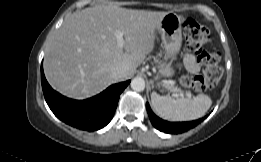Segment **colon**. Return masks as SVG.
<instances>
[{"mask_svg":"<svg viewBox=\"0 0 261 162\" xmlns=\"http://www.w3.org/2000/svg\"><path fill=\"white\" fill-rule=\"evenodd\" d=\"M183 33L188 50L197 56L203 71L201 75L197 76H182L180 84L184 88L198 92H205L214 88L223 75V69L219 66L220 55L203 48L211 36L209 29L198 23L194 18L188 17L183 21Z\"/></svg>","mask_w":261,"mask_h":162,"instance_id":"colon-1","label":"colon"}]
</instances>
